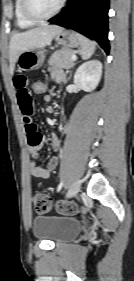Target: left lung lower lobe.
<instances>
[{
  "instance_id": "0a47b994",
  "label": "left lung lower lobe",
  "mask_w": 134,
  "mask_h": 281,
  "mask_svg": "<svg viewBox=\"0 0 134 281\" xmlns=\"http://www.w3.org/2000/svg\"><path fill=\"white\" fill-rule=\"evenodd\" d=\"M109 0H69L67 7L48 21L94 38L109 53Z\"/></svg>"
}]
</instances>
